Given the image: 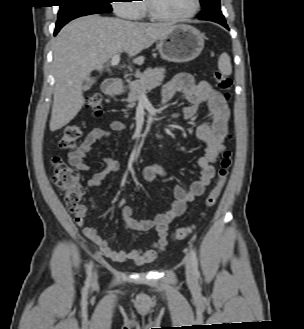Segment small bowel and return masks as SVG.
<instances>
[{
  "mask_svg": "<svg viewBox=\"0 0 304 329\" xmlns=\"http://www.w3.org/2000/svg\"><path fill=\"white\" fill-rule=\"evenodd\" d=\"M177 95H182L189 105L182 109L185 120L193 119L202 104L207 105V120L201 123L196 129L198 139L206 144L203 154L198 159L199 175L190 184L188 189L177 186L174 191V199L167 212L156 216L151 220H137L133 216V209L126 206L122 209L121 220L125 227L139 232H146L151 229L156 231V239L148 250L135 248L130 251L113 250L108 242L98 234L96 229L86 226V208L82 205L78 212H74L76 224L82 228L83 234L91 240L100 253L114 262L130 260L135 264H143L153 260L163 252L167 246L169 225L179 217L185 210L186 204L194 201L204 193L205 188L212 182L215 176L214 164L218 161L225 147L227 135V124L230 118V110L221 93L216 91L207 81L195 82L187 73L177 74L164 88L162 94L163 103H168ZM126 125L118 120L110 123L106 128L93 129L83 143L74 151L69 153V163L80 171H88L89 165L86 157L93 146L100 140L109 138L112 133L121 132ZM106 167L94 173L88 179L90 188H97L102 180L110 173L119 170L120 164L112 158L105 159ZM167 172L159 164H150L143 169V178L146 182L152 183L158 177H165ZM92 202V201H91ZM92 207L94 203L92 202Z\"/></svg>",
  "mask_w": 304,
  "mask_h": 329,
  "instance_id": "1",
  "label": "small bowel"
}]
</instances>
